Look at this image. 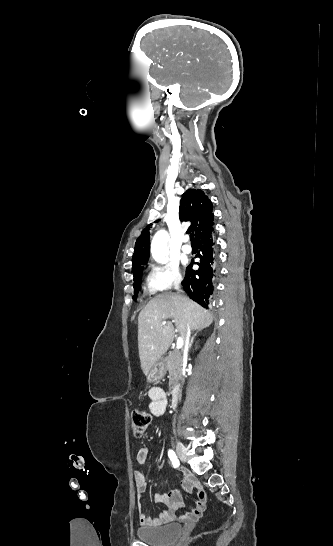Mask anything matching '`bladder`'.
<instances>
[{"mask_svg":"<svg viewBox=\"0 0 333 546\" xmlns=\"http://www.w3.org/2000/svg\"><path fill=\"white\" fill-rule=\"evenodd\" d=\"M183 529L179 523H168L158 527H140L137 537L151 546H169L178 539Z\"/></svg>","mask_w":333,"mask_h":546,"instance_id":"obj_1","label":"bladder"}]
</instances>
